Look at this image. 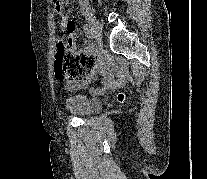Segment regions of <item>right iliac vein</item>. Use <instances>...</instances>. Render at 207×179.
Here are the masks:
<instances>
[{
	"mask_svg": "<svg viewBox=\"0 0 207 179\" xmlns=\"http://www.w3.org/2000/svg\"><path fill=\"white\" fill-rule=\"evenodd\" d=\"M84 16L87 20L89 27L93 31L94 37L96 38L100 46H102V30L99 26L98 20L91 12H85Z\"/></svg>",
	"mask_w": 207,
	"mask_h": 179,
	"instance_id": "1",
	"label": "right iliac vein"
}]
</instances>
